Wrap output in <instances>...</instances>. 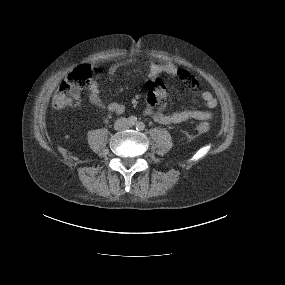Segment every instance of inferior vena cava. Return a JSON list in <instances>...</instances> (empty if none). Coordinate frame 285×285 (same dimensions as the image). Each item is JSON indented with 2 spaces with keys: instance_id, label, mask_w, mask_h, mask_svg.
<instances>
[{
  "instance_id": "602c4592",
  "label": "inferior vena cava",
  "mask_w": 285,
  "mask_h": 285,
  "mask_svg": "<svg viewBox=\"0 0 285 285\" xmlns=\"http://www.w3.org/2000/svg\"><path fill=\"white\" fill-rule=\"evenodd\" d=\"M129 126V121L126 118H118L114 123L115 130H126Z\"/></svg>"
}]
</instances>
